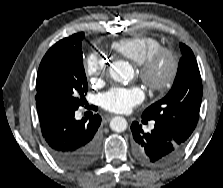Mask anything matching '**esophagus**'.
<instances>
[{
	"label": "esophagus",
	"instance_id": "34e87169",
	"mask_svg": "<svg viewBox=\"0 0 223 188\" xmlns=\"http://www.w3.org/2000/svg\"><path fill=\"white\" fill-rule=\"evenodd\" d=\"M112 117H113L112 115L105 116V117H104V120H105V121H109Z\"/></svg>",
	"mask_w": 223,
	"mask_h": 188
}]
</instances>
